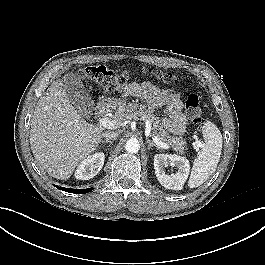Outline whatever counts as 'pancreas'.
Wrapping results in <instances>:
<instances>
[{"instance_id": "cf45deb5", "label": "pancreas", "mask_w": 265, "mask_h": 265, "mask_svg": "<svg viewBox=\"0 0 265 265\" xmlns=\"http://www.w3.org/2000/svg\"><path fill=\"white\" fill-rule=\"evenodd\" d=\"M139 117L142 120H147L152 125L153 135L160 138L163 142L169 144L174 150L181 153L184 152L185 141L182 137L170 135L160 124V120L153 113L152 109H148L145 105L127 104L121 106L115 113L114 119H132Z\"/></svg>"}]
</instances>
